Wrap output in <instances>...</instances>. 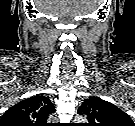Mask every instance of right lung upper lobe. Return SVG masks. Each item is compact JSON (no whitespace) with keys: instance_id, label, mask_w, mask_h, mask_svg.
<instances>
[{"instance_id":"cb5924a9","label":"right lung upper lobe","mask_w":135,"mask_h":126,"mask_svg":"<svg viewBox=\"0 0 135 126\" xmlns=\"http://www.w3.org/2000/svg\"><path fill=\"white\" fill-rule=\"evenodd\" d=\"M54 106L50 99L35 95L9 108L0 119V126H45Z\"/></svg>"}]
</instances>
